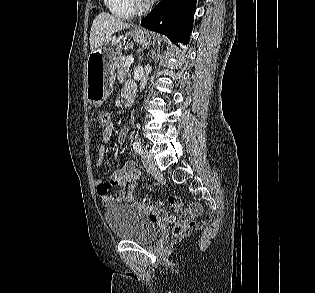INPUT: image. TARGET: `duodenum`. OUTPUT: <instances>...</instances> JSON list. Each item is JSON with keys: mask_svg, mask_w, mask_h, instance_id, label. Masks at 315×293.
I'll list each match as a JSON object with an SVG mask.
<instances>
[{"mask_svg": "<svg viewBox=\"0 0 315 293\" xmlns=\"http://www.w3.org/2000/svg\"><path fill=\"white\" fill-rule=\"evenodd\" d=\"M134 95H135L134 92H129L126 94V98H125L126 106H130L133 103Z\"/></svg>", "mask_w": 315, "mask_h": 293, "instance_id": "410a0bca", "label": "duodenum"}]
</instances>
